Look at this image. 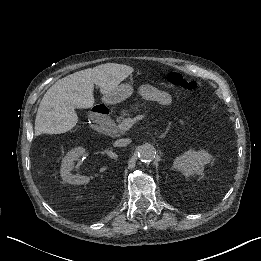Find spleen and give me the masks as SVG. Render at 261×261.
I'll return each instance as SVG.
<instances>
[{
	"mask_svg": "<svg viewBox=\"0 0 261 261\" xmlns=\"http://www.w3.org/2000/svg\"><path fill=\"white\" fill-rule=\"evenodd\" d=\"M211 108H212V109H214V110H215V112H218V109L216 108V106H215V105H212V106H211Z\"/></svg>",
	"mask_w": 261,
	"mask_h": 261,
	"instance_id": "spleen-1",
	"label": "spleen"
}]
</instances>
